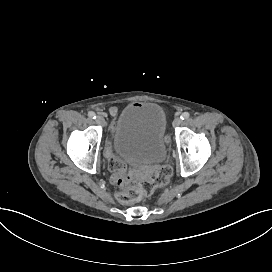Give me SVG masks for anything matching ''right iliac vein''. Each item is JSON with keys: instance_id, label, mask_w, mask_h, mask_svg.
Returning a JSON list of instances; mask_svg holds the SVG:
<instances>
[{"instance_id": "obj_1", "label": "right iliac vein", "mask_w": 272, "mask_h": 272, "mask_svg": "<svg viewBox=\"0 0 272 272\" xmlns=\"http://www.w3.org/2000/svg\"><path fill=\"white\" fill-rule=\"evenodd\" d=\"M96 122L99 125H105V120H104V118L102 116H97L96 117Z\"/></svg>"}]
</instances>
